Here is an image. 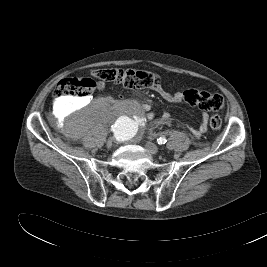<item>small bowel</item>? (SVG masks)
I'll return each instance as SVG.
<instances>
[{
	"mask_svg": "<svg viewBox=\"0 0 267 267\" xmlns=\"http://www.w3.org/2000/svg\"><path fill=\"white\" fill-rule=\"evenodd\" d=\"M105 88V84L103 82H99L97 84V89L102 91ZM154 91L156 93H158L166 102L170 103V104H181L183 102V93L182 92H174V93H170L167 90H165L162 86H157L155 88H153ZM149 110V108L147 109ZM201 116V122L200 125L198 127V129H196L194 132L197 135H201L203 133H205L207 131V122H208V113L205 111H202L200 113ZM154 117L153 113H150V115L148 116V119H152ZM167 117L163 116L161 119L156 120L155 124H160L161 122H163Z\"/></svg>",
	"mask_w": 267,
	"mask_h": 267,
	"instance_id": "1",
	"label": "small bowel"
}]
</instances>
